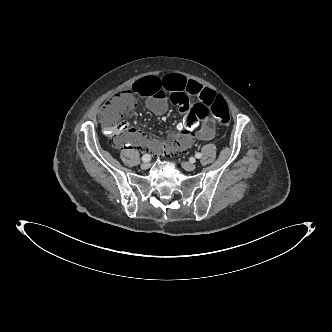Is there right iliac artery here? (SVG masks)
Instances as JSON below:
<instances>
[{
  "label": "right iliac artery",
  "instance_id": "obj_1",
  "mask_svg": "<svg viewBox=\"0 0 332 332\" xmlns=\"http://www.w3.org/2000/svg\"><path fill=\"white\" fill-rule=\"evenodd\" d=\"M150 159H151L150 154H145V155H143V157H142V160H143L144 162H146V161H150Z\"/></svg>",
  "mask_w": 332,
  "mask_h": 332
}]
</instances>
